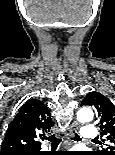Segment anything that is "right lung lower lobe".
<instances>
[{"instance_id": "obj_1", "label": "right lung lower lobe", "mask_w": 115, "mask_h": 155, "mask_svg": "<svg viewBox=\"0 0 115 155\" xmlns=\"http://www.w3.org/2000/svg\"><path fill=\"white\" fill-rule=\"evenodd\" d=\"M15 155H44V153H42L39 148L36 150H26V151H23L21 153L15 154Z\"/></svg>"}]
</instances>
